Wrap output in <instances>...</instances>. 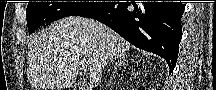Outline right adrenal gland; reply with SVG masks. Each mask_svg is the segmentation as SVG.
Segmentation results:
<instances>
[{"label": "right adrenal gland", "instance_id": "1", "mask_svg": "<svg viewBox=\"0 0 216 90\" xmlns=\"http://www.w3.org/2000/svg\"><path fill=\"white\" fill-rule=\"evenodd\" d=\"M126 62H127L126 56H122V58H119L118 62H115V64H114L115 72H113V76H112L111 80H113L114 74H116L118 66H121V64H126ZM111 80H110V82H111Z\"/></svg>", "mask_w": 216, "mask_h": 90}]
</instances>
